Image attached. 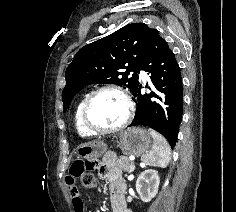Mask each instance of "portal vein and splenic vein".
<instances>
[{"label":"portal vein and splenic vein","mask_w":236,"mask_h":212,"mask_svg":"<svg viewBox=\"0 0 236 212\" xmlns=\"http://www.w3.org/2000/svg\"><path fill=\"white\" fill-rule=\"evenodd\" d=\"M130 159H131V160H134L135 158L132 157V158H130ZM131 169L134 170V169H135V165H132V166H131Z\"/></svg>","instance_id":"18ae733b"}]
</instances>
